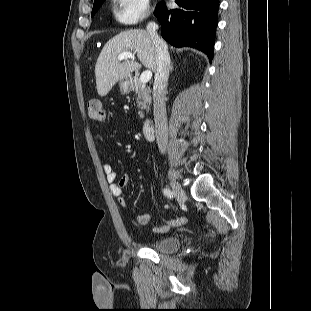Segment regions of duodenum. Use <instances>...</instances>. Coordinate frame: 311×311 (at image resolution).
Wrapping results in <instances>:
<instances>
[{"label":"duodenum","instance_id":"duodenum-1","mask_svg":"<svg viewBox=\"0 0 311 311\" xmlns=\"http://www.w3.org/2000/svg\"><path fill=\"white\" fill-rule=\"evenodd\" d=\"M154 131L155 128L153 119L146 120L142 129L144 137L147 140H151L154 137Z\"/></svg>","mask_w":311,"mask_h":311}]
</instances>
